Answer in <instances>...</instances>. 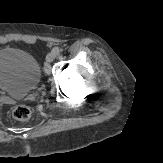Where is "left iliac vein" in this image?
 Listing matches in <instances>:
<instances>
[{
    "label": "left iliac vein",
    "mask_w": 163,
    "mask_h": 163,
    "mask_svg": "<svg viewBox=\"0 0 163 163\" xmlns=\"http://www.w3.org/2000/svg\"><path fill=\"white\" fill-rule=\"evenodd\" d=\"M56 57V53L52 50L50 53H48L47 57H46V69L49 68V63H51Z\"/></svg>",
    "instance_id": "left-iliac-vein-1"
}]
</instances>
